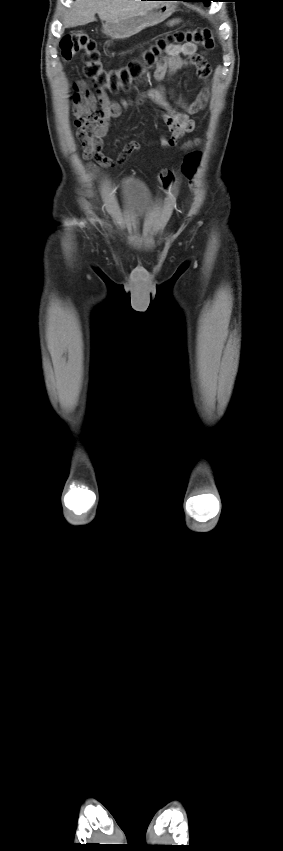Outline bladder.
I'll use <instances>...</instances> for the list:
<instances>
[{
  "label": "bladder",
  "mask_w": 283,
  "mask_h": 851,
  "mask_svg": "<svg viewBox=\"0 0 283 851\" xmlns=\"http://www.w3.org/2000/svg\"><path fill=\"white\" fill-rule=\"evenodd\" d=\"M119 193L127 213L134 218H143L152 205V195L145 183L134 177L123 179Z\"/></svg>",
  "instance_id": "31cf9c89"
}]
</instances>
